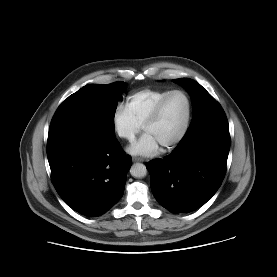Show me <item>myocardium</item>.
Here are the masks:
<instances>
[{"mask_svg":"<svg viewBox=\"0 0 277 277\" xmlns=\"http://www.w3.org/2000/svg\"><path fill=\"white\" fill-rule=\"evenodd\" d=\"M175 94H181L185 97V99L187 101V116H186V120H185L183 129L179 133V135L175 139H173L171 142L162 146L165 150H171V149L175 148L177 145H179L184 140V138L186 137V135L190 129V125H191V121H192V114H193V103H192L190 95L186 91L181 90V89L171 90L158 102V104L154 108L153 112L151 113V115L148 117V119L145 121V123L143 125V129H144V131H146V129L150 125L154 124L160 118L166 102L169 100V98L171 96H173Z\"/></svg>","mask_w":277,"mask_h":277,"instance_id":"obj_1","label":"myocardium"}]
</instances>
